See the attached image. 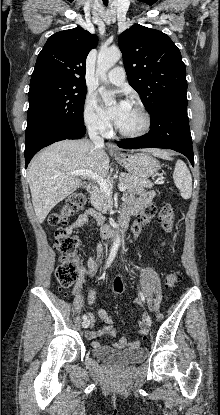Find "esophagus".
Returning a JSON list of instances; mask_svg holds the SVG:
<instances>
[{
  "label": "esophagus",
  "instance_id": "1",
  "mask_svg": "<svg viewBox=\"0 0 220 415\" xmlns=\"http://www.w3.org/2000/svg\"><path fill=\"white\" fill-rule=\"evenodd\" d=\"M108 147L110 148V150H111V152H112V153H119V151H118V149H117L116 145H114V144L110 143V144L108 145Z\"/></svg>",
  "mask_w": 220,
  "mask_h": 415
}]
</instances>
